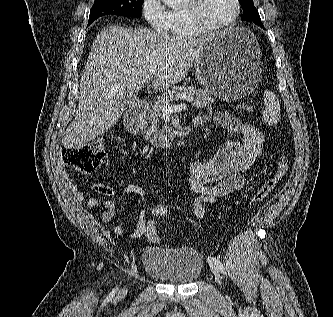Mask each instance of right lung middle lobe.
I'll use <instances>...</instances> for the list:
<instances>
[{"label": "right lung middle lobe", "instance_id": "1", "mask_svg": "<svg viewBox=\"0 0 333 317\" xmlns=\"http://www.w3.org/2000/svg\"><path fill=\"white\" fill-rule=\"evenodd\" d=\"M144 0H95L88 24L104 15L140 16Z\"/></svg>", "mask_w": 333, "mask_h": 317}]
</instances>
